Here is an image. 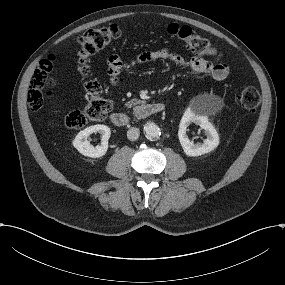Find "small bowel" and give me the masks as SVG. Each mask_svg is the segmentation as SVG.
Instances as JSON below:
<instances>
[{
  "label": "small bowel",
  "instance_id": "1",
  "mask_svg": "<svg viewBox=\"0 0 285 285\" xmlns=\"http://www.w3.org/2000/svg\"><path fill=\"white\" fill-rule=\"evenodd\" d=\"M157 60H168L181 67L187 68L195 76H205L213 81H223L229 75V67L221 62V55L216 62H211L199 56H193L189 60L184 59L179 53L168 48L154 51H145L138 54L131 61H124L118 56L110 57L108 61V75L112 86L119 84V74L122 70H128L139 64L154 62Z\"/></svg>",
  "mask_w": 285,
  "mask_h": 285
}]
</instances>
